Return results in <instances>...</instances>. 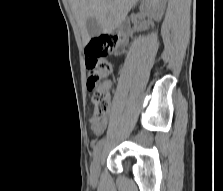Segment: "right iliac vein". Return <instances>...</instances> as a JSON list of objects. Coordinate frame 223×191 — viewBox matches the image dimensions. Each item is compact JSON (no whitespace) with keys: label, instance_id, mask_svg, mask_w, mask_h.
I'll list each match as a JSON object with an SVG mask.
<instances>
[{"label":"right iliac vein","instance_id":"obj_1","mask_svg":"<svg viewBox=\"0 0 223 191\" xmlns=\"http://www.w3.org/2000/svg\"><path fill=\"white\" fill-rule=\"evenodd\" d=\"M101 157H102V153L99 152L95 156V158H94V160H93V162L91 164V176L93 178H97L98 177Z\"/></svg>","mask_w":223,"mask_h":191}]
</instances>
